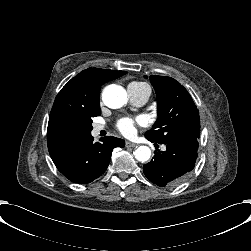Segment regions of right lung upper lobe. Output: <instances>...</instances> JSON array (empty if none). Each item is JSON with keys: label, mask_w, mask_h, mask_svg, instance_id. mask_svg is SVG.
Instances as JSON below:
<instances>
[{"label": "right lung upper lobe", "mask_w": 251, "mask_h": 251, "mask_svg": "<svg viewBox=\"0 0 251 251\" xmlns=\"http://www.w3.org/2000/svg\"><path fill=\"white\" fill-rule=\"evenodd\" d=\"M126 71L88 68L72 78L55 98L48 122L47 145L51 158L82 142L88 134L84 120L100 111L102 84L125 75Z\"/></svg>", "instance_id": "1"}]
</instances>
